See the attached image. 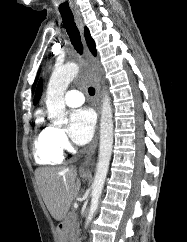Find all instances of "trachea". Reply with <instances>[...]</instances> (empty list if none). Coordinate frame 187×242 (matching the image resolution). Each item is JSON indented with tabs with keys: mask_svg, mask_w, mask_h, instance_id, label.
Returning <instances> with one entry per match:
<instances>
[{
	"mask_svg": "<svg viewBox=\"0 0 187 242\" xmlns=\"http://www.w3.org/2000/svg\"><path fill=\"white\" fill-rule=\"evenodd\" d=\"M64 27L69 35L70 41L72 45L74 46L75 50L82 55L83 54V46L81 42V37L79 30L75 24L74 16L72 12H60ZM88 92L91 96L95 94V89L93 87H90L88 89Z\"/></svg>",
	"mask_w": 187,
	"mask_h": 242,
	"instance_id": "trachea-1",
	"label": "trachea"
}]
</instances>
